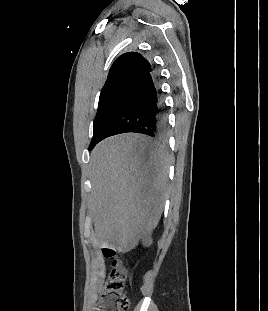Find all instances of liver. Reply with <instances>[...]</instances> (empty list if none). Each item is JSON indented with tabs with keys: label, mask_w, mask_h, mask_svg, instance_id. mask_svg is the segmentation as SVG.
Returning a JSON list of instances; mask_svg holds the SVG:
<instances>
[{
	"label": "liver",
	"mask_w": 268,
	"mask_h": 311,
	"mask_svg": "<svg viewBox=\"0 0 268 311\" xmlns=\"http://www.w3.org/2000/svg\"><path fill=\"white\" fill-rule=\"evenodd\" d=\"M90 209L93 244L126 253L161 217L167 191L168 157L138 134L101 141L91 152Z\"/></svg>",
	"instance_id": "1"
}]
</instances>
